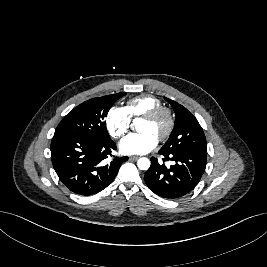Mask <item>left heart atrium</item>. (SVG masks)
I'll return each mask as SVG.
<instances>
[{
	"instance_id": "obj_1",
	"label": "left heart atrium",
	"mask_w": 267,
	"mask_h": 267,
	"mask_svg": "<svg viewBox=\"0 0 267 267\" xmlns=\"http://www.w3.org/2000/svg\"><path fill=\"white\" fill-rule=\"evenodd\" d=\"M158 139L149 133H135L124 137L119 143V149L123 154H145L153 150Z\"/></svg>"
}]
</instances>
